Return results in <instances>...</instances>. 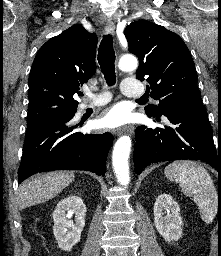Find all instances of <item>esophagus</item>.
<instances>
[{"label": "esophagus", "instance_id": "34e87169", "mask_svg": "<svg viewBox=\"0 0 221 256\" xmlns=\"http://www.w3.org/2000/svg\"><path fill=\"white\" fill-rule=\"evenodd\" d=\"M105 31H106L107 34H111V35L114 34L115 24L111 19H109L107 21L106 26H105ZM123 132L133 133L134 132V126L130 125V126H126L124 128H120V129H117V130L114 131V133L116 135H121Z\"/></svg>", "mask_w": 221, "mask_h": 256}]
</instances>
